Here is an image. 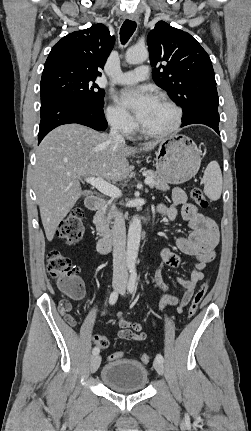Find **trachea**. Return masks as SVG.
I'll list each match as a JSON object with an SVG mask.
<instances>
[{"label": "trachea", "instance_id": "trachea-1", "mask_svg": "<svg viewBox=\"0 0 251 431\" xmlns=\"http://www.w3.org/2000/svg\"><path fill=\"white\" fill-rule=\"evenodd\" d=\"M136 30V22L131 20H125L120 29V40L125 44Z\"/></svg>", "mask_w": 251, "mask_h": 431}]
</instances>
